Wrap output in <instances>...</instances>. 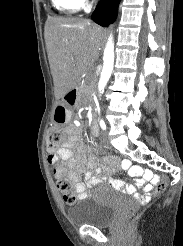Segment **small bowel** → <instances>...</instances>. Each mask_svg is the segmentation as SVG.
<instances>
[{
  "label": "small bowel",
  "instance_id": "small-bowel-1",
  "mask_svg": "<svg viewBox=\"0 0 183 246\" xmlns=\"http://www.w3.org/2000/svg\"><path fill=\"white\" fill-rule=\"evenodd\" d=\"M93 136H98L99 129L96 124L91 126ZM49 164L61 162L69 170V178L75 182L77 198L85 199L88 196L87 188L93 187L100 183H109L116 190L124 194L137 195L140 189L145 195L151 191V186L145 183L144 179L149 182H161L160 174H152V170H144L143 167H133V162L127 159L120 161V167L124 169L125 174H131L134 178V184H125L122 180L112 179L109 175H103L97 172L93 175L91 170L96 165V157L93 151H87L81 139L79 132L75 129H67V139L60 148L55 151H49ZM110 169H106L110 173ZM83 174V180L79 179V174ZM144 175V178H141Z\"/></svg>",
  "mask_w": 183,
  "mask_h": 246
}]
</instances>
